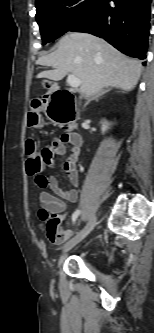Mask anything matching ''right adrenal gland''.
<instances>
[{
    "instance_id": "2a0ac1e0",
    "label": "right adrenal gland",
    "mask_w": 154,
    "mask_h": 333,
    "mask_svg": "<svg viewBox=\"0 0 154 333\" xmlns=\"http://www.w3.org/2000/svg\"><path fill=\"white\" fill-rule=\"evenodd\" d=\"M111 88H106V89H102L99 92H97L91 99H89L87 101V103L85 104V106L92 100H97L100 96H102L103 94H105L106 92L110 91Z\"/></svg>"
}]
</instances>
